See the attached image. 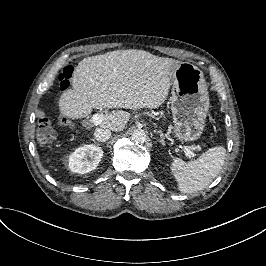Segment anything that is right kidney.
Returning <instances> with one entry per match:
<instances>
[{
    "instance_id": "ca27d5eb",
    "label": "right kidney",
    "mask_w": 266,
    "mask_h": 266,
    "mask_svg": "<svg viewBox=\"0 0 266 266\" xmlns=\"http://www.w3.org/2000/svg\"><path fill=\"white\" fill-rule=\"evenodd\" d=\"M103 150L94 145H86L77 148L70 156L72 159L73 171L85 174L94 170L102 158Z\"/></svg>"
}]
</instances>
